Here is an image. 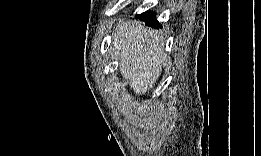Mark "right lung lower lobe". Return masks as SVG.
Returning a JSON list of instances; mask_svg holds the SVG:
<instances>
[{
    "mask_svg": "<svg viewBox=\"0 0 261 156\" xmlns=\"http://www.w3.org/2000/svg\"><path fill=\"white\" fill-rule=\"evenodd\" d=\"M137 17L144 20L151 27L158 26L159 28H162L153 13L146 12L141 15H137Z\"/></svg>",
    "mask_w": 261,
    "mask_h": 156,
    "instance_id": "98d812e1",
    "label": "right lung lower lobe"
}]
</instances>
